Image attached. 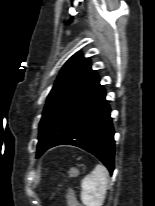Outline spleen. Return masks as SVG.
<instances>
[{
    "label": "spleen",
    "instance_id": "3e777b00",
    "mask_svg": "<svg viewBox=\"0 0 155 206\" xmlns=\"http://www.w3.org/2000/svg\"><path fill=\"white\" fill-rule=\"evenodd\" d=\"M108 187L107 169L99 164L81 181V201L85 206H102Z\"/></svg>",
    "mask_w": 155,
    "mask_h": 206
}]
</instances>
